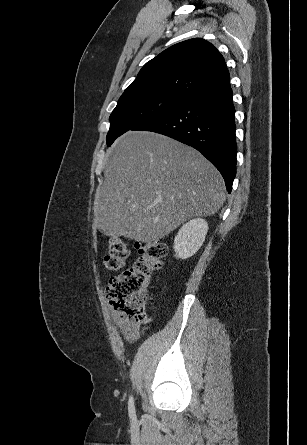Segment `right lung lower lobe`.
<instances>
[{
  "label": "right lung lower lobe",
  "instance_id": "1",
  "mask_svg": "<svg viewBox=\"0 0 307 445\" xmlns=\"http://www.w3.org/2000/svg\"><path fill=\"white\" fill-rule=\"evenodd\" d=\"M230 78L185 98L131 130L160 133L200 151L222 174L228 192L236 174L235 108Z\"/></svg>",
  "mask_w": 307,
  "mask_h": 445
}]
</instances>
